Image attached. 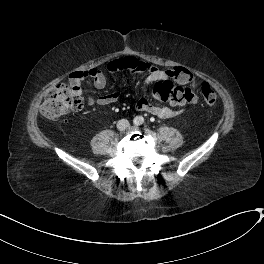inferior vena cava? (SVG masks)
Masks as SVG:
<instances>
[{"label":"inferior vena cava","mask_w":264,"mask_h":264,"mask_svg":"<svg viewBox=\"0 0 264 264\" xmlns=\"http://www.w3.org/2000/svg\"><path fill=\"white\" fill-rule=\"evenodd\" d=\"M129 122L125 119L119 120L117 126L120 129H124L126 126H128Z\"/></svg>","instance_id":"602c4592"}]
</instances>
